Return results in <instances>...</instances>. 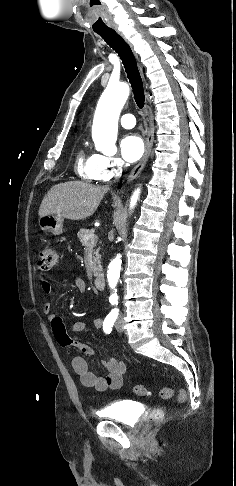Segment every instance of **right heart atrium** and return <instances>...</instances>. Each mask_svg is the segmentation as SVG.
Returning <instances> with one entry per match:
<instances>
[{
    "mask_svg": "<svg viewBox=\"0 0 236 486\" xmlns=\"http://www.w3.org/2000/svg\"><path fill=\"white\" fill-rule=\"evenodd\" d=\"M123 168V162L118 157L104 154L94 155L93 174L95 180L109 181L116 177Z\"/></svg>",
    "mask_w": 236,
    "mask_h": 486,
    "instance_id": "obj_1",
    "label": "right heart atrium"
}]
</instances>
